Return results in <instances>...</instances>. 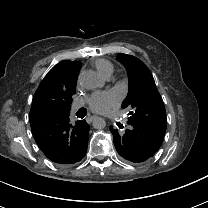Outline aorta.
<instances>
[{"mask_svg":"<svg viewBox=\"0 0 208 208\" xmlns=\"http://www.w3.org/2000/svg\"><path fill=\"white\" fill-rule=\"evenodd\" d=\"M92 125L95 129H103L106 126V122L103 118L101 117H94Z\"/></svg>","mask_w":208,"mask_h":208,"instance_id":"1","label":"aorta"}]
</instances>
